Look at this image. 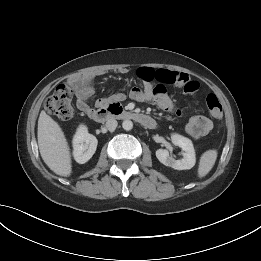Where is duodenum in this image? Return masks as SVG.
Returning a JSON list of instances; mask_svg holds the SVG:
<instances>
[{
	"instance_id": "duodenum-1",
	"label": "duodenum",
	"mask_w": 261,
	"mask_h": 261,
	"mask_svg": "<svg viewBox=\"0 0 261 261\" xmlns=\"http://www.w3.org/2000/svg\"><path fill=\"white\" fill-rule=\"evenodd\" d=\"M89 116L96 121H103L108 118L118 117L121 119L136 121L147 128H155L156 122L149 115L125 110L119 103H111L93 110Z\"/></svg>"
}]
</instances>
